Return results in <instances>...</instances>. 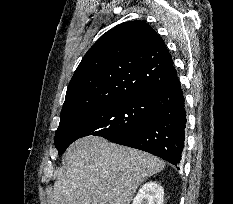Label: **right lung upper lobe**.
Masks as SVG:
<instances>
[{
  "label": "right lung upper lobe",
  "mask_w": 233,
  "mask_h": 204,
  "mask_svg": "<svg viewBox=\"0 0 233 204\" xmlns=\"http://www.w3.org/2000/svg\"><path fill=\"white\" fill-rule=\"evenodd\" d=\"M177 76L164 41L143 21L105 33L87 51L66 92L59 128L98 107L151 95Z\"/></svg>",
  "instance_id": "obj_1"
}]
</instances>
